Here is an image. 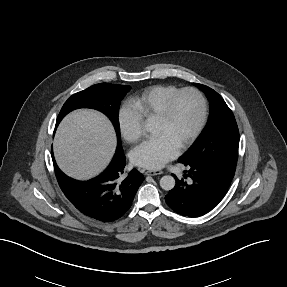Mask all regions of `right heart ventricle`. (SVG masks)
<instances>
[{
    "instance_id": "obj_1",
    "label": "right heart ventricle",
    "mask_w": 287,
    "mask_h": 287,
    "mask_svg": "<svg viewBox=\"0 0 287 287\" xmlns=\"http://www.w3.org/2000/svg\"><path fill=\"white\" fill-rule=\"evenodd\" d=\"M179 90L174 85H155L148 87L130 100V108L142 122L155 119L162 111L167 99Z\"/></svg>"
}]
</instances>
